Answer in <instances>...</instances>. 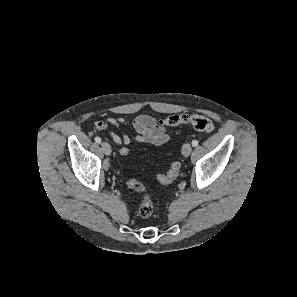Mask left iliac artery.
I'll list each match as a JSON object with an SVG mask.
<instances>
[{
  "label": "left iliac artery",
  "instance_id": "obj_1",
  "mask_svg": "<svg viewBox=\"0 0 297 297\" xmlns=\"http://www.w3.org/2000/svg\"><path fill=\"white\" fill-rule=\"evenodd\" d=\"M192 146H193V147L198 146V141H197V140H193V141H192Z\"/></svg>",
  "mask_w": 297,
  "mask_h": 297
}]
</instances>
